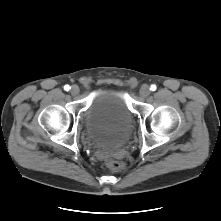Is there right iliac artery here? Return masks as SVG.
Wrapping results in <instances>:
<instances>
[{"instance_id":"obj_1","label":"right iliac artery","mask_w":221,"mask_h":221,"mask_svg":"<svg viewBox=\"0 0 221 221\" xmlns=\"http://www.w3.org/2000/svg\"><path fill=\"white\" fill-rule=\"evenodd\" d=\"M64 89H65L66 91H69V90L71 89V87H70L69 85H65V86H64Z\"/></svg>"}]
</instances>
